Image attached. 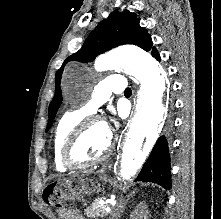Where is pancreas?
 <instances>
[{
    "mask_svg": "<svg viewBox=\"0 0 221 219\" xmlns=\"http://www.w3.org/2000/svg\"><path fill=\"white\" fill-rule=\"evenodd\" d=\"M107 203L101 204L100 199H96L89 207L84 210V214L89 218L106 217L108 215L106 207Z\"/></svg>",
    "mask_w": 221,
    "mask_h": 219,
    "instance_id": "1",
    "label": "pancreas"
}]
</instances>
